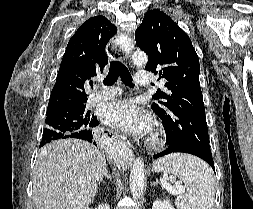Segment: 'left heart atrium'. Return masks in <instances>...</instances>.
I'll use <instances>...</instances> for the list:
<instances>
[{
  "mask_svg": "<svg viewBox=\"0 0 253 209\" xmlns=\"http://www.w3.org/2000/svg\"><path fill=\"white\" fill-rule=\"evenodd\" d=\"M101 117L107 125L132 135H145L152 129L150 116L132 100L106 105Z\"/></svg>",
  "mask_w": 253,
  "mask_h": 209,
  "instance_id": "39dd6f15",
  "label": "left heart atrium"
}]
</instances>
